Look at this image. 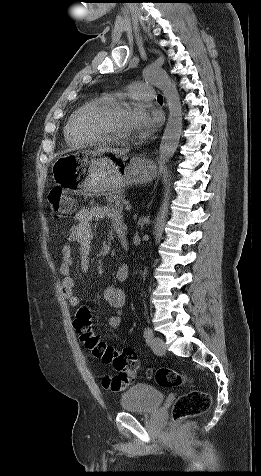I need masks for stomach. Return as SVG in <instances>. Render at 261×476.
Wrapping results in <instances>:
<instances>
[{
  "mask_svg": "<svg viewBox=\"0 0 261 476\" xmlns=\"http://www.w3.org/2000/svg\"><path fill=\"white\" fill-rule=\"evenodd\" d=\"M57 183L75 195L116 194L128 185L147 183L157 175L153 161L142 156L119 155L114 149L78 151L76 156H59L54 164Z\"/></svg>",
  "mask_w": 261,
  "mask_h": 476,
  "instance_id": "0dacf381",
  "label": "stomach"
}]
</instances>
